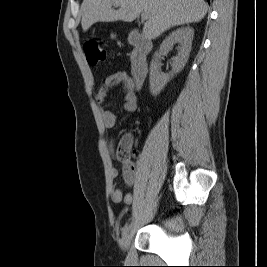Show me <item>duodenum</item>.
Returning a JSON list of instances; mask_svg holds the SVG:
<instances>
[{
    "mask_svg": "<svg viewBox=\"0 0 267 267\" xmlns=\"http://www.w3.org/2000/svg\"><path fill=\"white\" fill-rule=\"evenodd\" d=\"M128 42L133 46L131 74L136 87H140L144 83L148 73L147 56L152 49V44L136 30H132L129 33Z\"/></svg>",
    "mask_w": 267,
    "mask_h": 267,
    "instance_id": "410a0bca",
    "label": "duodenum"
}]
</instances>
